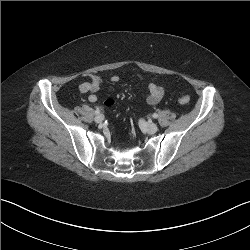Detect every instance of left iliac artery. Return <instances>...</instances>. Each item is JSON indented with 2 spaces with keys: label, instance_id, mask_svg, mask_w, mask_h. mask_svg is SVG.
I'll return each mask as SVG.
<instances>
[{
  "label": "left iliac artery",
  "instance_id": "1",
  "mask_svg": "<svg viewBox=\"0 0 250 250\" xmlns=\"http://www.w3.org/2000/svg\"><path fill=\"white\" fill-rule=\"evenodd\" d=\"M152 116H153V118H157L158 114L154 113Z\"/></svg>",
  "mask_w": 250,
  "mask_h": 250
}]
</instances>
